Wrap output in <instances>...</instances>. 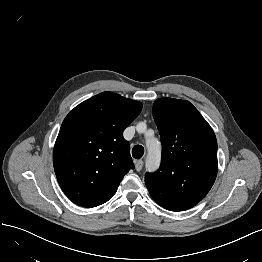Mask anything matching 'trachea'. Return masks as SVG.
Masks as SVG:
<instances>
[{
	"label": "trachea",
	"mask_w": 262,
	"mask_h": 262,
	"mask_svg": "<svg viewBox=\"0 0 262 262\" xmlns=\"http://www.w3.org/2000/svg\"><path fill=\"white\" fill-rule=\"evenodd\" d=\"M144 154V148L141 145H136L132 149V156L135 159H140Z\"/></svg>",
	"instance_id": "1"
}]
</instances>
